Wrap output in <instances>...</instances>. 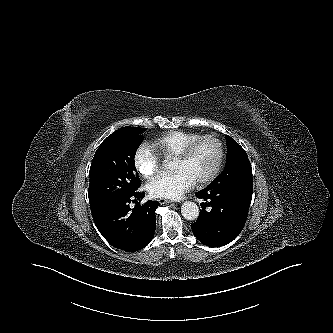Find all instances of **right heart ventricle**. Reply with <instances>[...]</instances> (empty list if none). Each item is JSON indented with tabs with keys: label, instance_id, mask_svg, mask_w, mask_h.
<instances>
[{
	"label": "right heart ventricle",
	"instance_id": "obj_1",
	"mask_svg": "<svg viewBox=\"0 0 333 333\" xmlns=\"http://www.w3.org/2000/svg\"><path fill=\"white\" fill-rule=\"evenodd\" d=\"M199 136L195 132L169 131L155 139L150 148L159 157L174 159L189 142Z\"/></svg>",
	"mask_w": 333,
	"mask_h": 333
}]
</instances>
